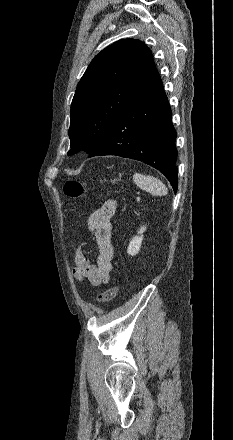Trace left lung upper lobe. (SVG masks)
I'll return each instance as SVG.
<instances>
[{
    "label": "left lung upper lobe",
    "instance_id": "1",
    "mask_svg": "<svg viewBox=\"0 0 233 440\" xmlns=\"http://www.w3.org/2000/svg\"><path fill=\"white\" fill-rule=\"evenodd\" d=\"M155 69L152 52L137 39L119 40L96 55L71 104L68 155L81 149L91 154Z\"/></svg>",
    "mask_w": 233,
    "mask_h": 440
}]
</instances>
